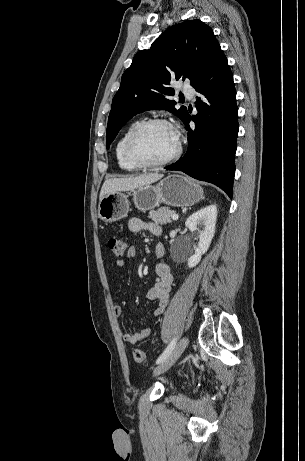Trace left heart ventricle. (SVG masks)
<instances>
[{
    "label": "left heart ventricle",
    "mask_w": 305,
    "mask_h": 461,
    "mask_svg": "<svg viewBox=\"0 0 305 461\" xmlns=\"http://www.w3.org/2000/svg\"><path fill=\"white\" fill-rule=\"evenodd\" d=\"M177 140L174 132L163 125L146 128L139 136L135 151L143 160L157 162L169 157L176 149Z\"/></svg>",
    "instance_id": "obj_1"
}]
</instances>
